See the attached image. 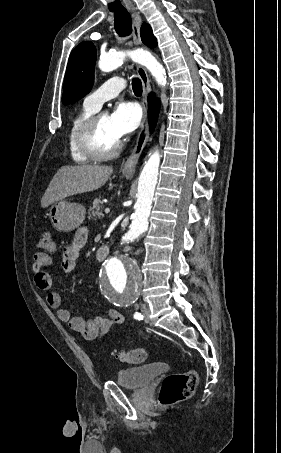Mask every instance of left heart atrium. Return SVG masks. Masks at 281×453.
<instances>
[{"label":"left heart atrium","instance_id":"left-heart-atrium-1","mask_svg":"<svg viewBox=\"0 0 281 453\" xmlns=\"http://www.w3.org/2000/svg\"><path fill=\"white\" fill-rule=\"evenodd\" d=\"M142 120V111L138 104L120 101L109 116V122L114 134L121 138L136 130Z\"/></svg>","mask_w":281,"mask_h":453}]
</instances>
